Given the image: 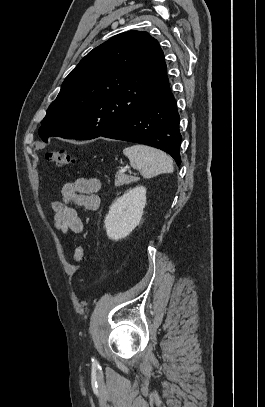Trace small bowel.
Segmentation results:
<instances>
[{
    "label": "small bowel",
    "mask_w": 265,
    "mask_h": 407,
    "mask_svg": "<svg viewBox=\"0 0 265 407\" xmlns=\"http://www.w3.org/2000/svg\"><path fill=\"white\" fill-rule=\"evenodd\" d=\"M100 189L101 183L97 178L81 177L65 183L61 189V199L52 204L54 229L65 237L70 233H83L84 223L76 207L86 211L97 210L100 203L98 196Z\"/></svg>",
    "instance_id": "obj_1"
}]
</instances>
